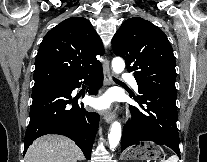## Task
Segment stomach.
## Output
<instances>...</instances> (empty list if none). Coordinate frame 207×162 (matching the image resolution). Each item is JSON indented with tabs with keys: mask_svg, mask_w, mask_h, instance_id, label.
<instances>
[{
	"mask_svg": "<svg viewBox=\"0 0 207 162\" xmlns=\"http://www.w3.org/2000/svg\"><path fill=\"white\" fill-rule=\"evenodd\" d=\"M163 156L162 148L149 142L139 144L124 153L126 160H162Z\"/></svg>",
	"mask_w": 207,
	"mask_h": 162,
	"instance_id": "obj_1",
	"label": "stomach"
}]
</instances>
